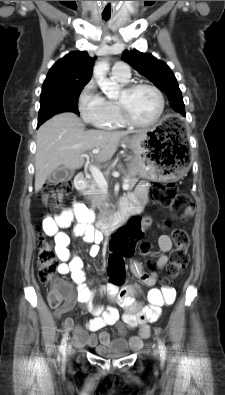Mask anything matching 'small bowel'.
I'll return each instance as SVG.
<instances>
[{"label": "small bowel", "instance_id": "1", "mask_svg": "<svg viewBox=\"0 0 225 395\" xmlns=\"http://www.w3.org/2000/svg\"><path fill=\"white\" fill-rule=\"evenodd\" d=\"M147 182L139 183L135 190L123 200L121 209L128 214H137L141 207L148 202ZM94 214L85 205L74 203L70 208L56 216H47L43 219L42 228L45 234L54 238L55 251L60 260L58 272L60 274H69L73 283L77 285V294L66 301L65 306L56 310L55 315L60 317L68 311L75 302L84 304L86 309L93 315V318L86 323V329L91 332L88 334L80 326L74 327L72 318H67L64 322L67 330H74V344L78 347L88 346L97 350L106 347L110 341V335L107 332H101L99 336L95 332L102 330L106 326L118 325L120 331L124 332V326L135 328L139 326L137 335L129 339V345L132 348H139L143 339L150 335L148 323L157 321L162 313V307L171 305L176 297L174 289L170 287L156 288L153 287L158 278V272L168 263L167 253L172 248V241L168 235H161L158 238V247L160 255L156 260V269L152 272H145L140 262L134 261L130 265L132 273L139 281L147 286L152 287L147 293L148 307L138 304L133 294L138 291L137 287L113 288L111 283L101 289L112 303L107 307H101L95 303V292L90 289L86 281L83 270V261L71 254L69 250L70 238L61 229L69 227L74 221L75 234L82 236L84 242L90 244L89 254L96 256L99 253V244L102 241L101 235L94 230L91 223ZM143 229L151 224L150 218H144L141 222ZM116 306L123 309L122 323H120V314Z\"/></svg>", "mask_w": 225, "mask_h": 395}]
</instances>
